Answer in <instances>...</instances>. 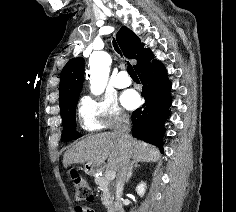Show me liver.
I'll use <instances>...</instances> for the list:
<instances>
[{
  "label": "liver",
  "mask_w": 236,
  "mask_h": 212,
  "mask_svg": "<svg viewBox=\"0 0 236 212\" xmlns=\"http://www.w3.org/2000/svg\"><path fill=\"white\" fill-rule=\"evenodd\" d=\"M127 149L130 158L136 162L157 161L161 157L155 146L136 140L130 135L127 138ZM121 153L122 145L114 132L90 135L65 152L63 166L67 168L71 164L88 163L100 167L108 159L107 168L117 171Z\"/></svg>",
  "instance_id": "1"
}]
</instances>
